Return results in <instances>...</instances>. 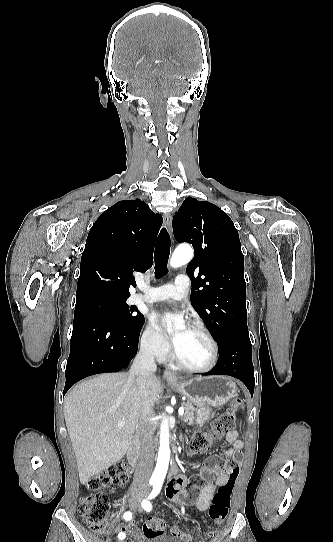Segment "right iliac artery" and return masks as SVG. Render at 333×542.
I'll list each match as a JSON object with an SVG mask.
<instances>
[{"label": "right iliac artery", "mask_w": 333, "mask_h": 542, "mask_svg": "<svg viewBox=\"0 0 333 542\" xmlns=\"http://www.w3.org/2000/svg\"><path fill=\"white\" fill-rule=\"evenodd\" d=\"M123 517H124L125 520H130L132 518V513L130 511H127V512L124 513ZM118 537H119V539H124L125 538V533H123V532L119 533Z\"/></svg>", "instance_id": "1"}]
</instances>
